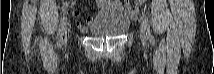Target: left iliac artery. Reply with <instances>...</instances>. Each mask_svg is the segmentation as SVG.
I'll return each mask as SVG.
<instances>
[{"label":"left iliac artery","mask_w":214,"mask_h":74,"mask_svg":"<svg viewBox=\"0 0 214 74\" xmlns=\"http://www.w3.org/2000/svg\"><path fill=\"white\" fill-rule=\"evenodd\" d=\"M143 19H144V22L146 23V25H148V27H150V25H149V18H148V16L146 14H143ZM148 36H149L150 42L154 43V37L151 34L149 28H148Z\"/></svg>","instance_id":"1"}]
</instances>
